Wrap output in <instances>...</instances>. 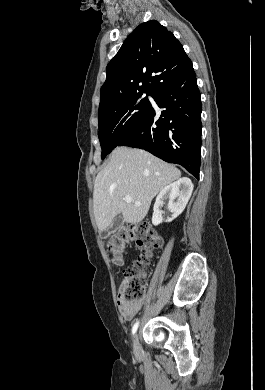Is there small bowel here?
Here are the masks:
<instances>
[{"mask_svg": "<svg viewBox=\"0 0 265 390\" xmlns=\"http://www.w3.org/2000/svg\"><path fill=\"white\" fill-rule=\"evenodd\" d=\"M123 291V284L120 286V289H119V292H120V295ZM144 304V299L136 302V303H133V304H126L124 303L120 296H119V299H118V308H119V311L122 315V317L126 320H131L142 308Z\"/></svg>", "mask_w": 265, "mask_h": 390, "instance_id": "1", "label": "small bowel"}]
</instances>
